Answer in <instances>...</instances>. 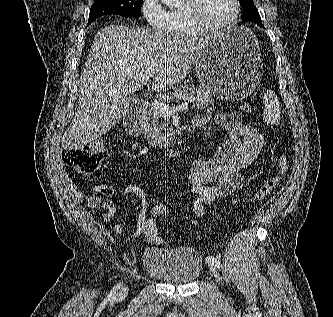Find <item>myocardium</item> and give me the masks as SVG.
Segmentation results:
<instances>
[{"label": "myocardium", "instance_id": "1", "mask_svg": "<svg viewBox=\"0 0 333 317\" xmlns=\"http://www.w3.org/2000/svg\"><path fill=\"white\" fill-rule=\"evenodd\" d=\"M202 0H185L182 9L191 24L200 33H211L226 29L232 26L238 19L241 12L240 0H233L235 10L233 15L225 22L220 24H209L201 16Z\"/></svg>", "mask_w": 333, "mask_h": 317}]
</instances>
